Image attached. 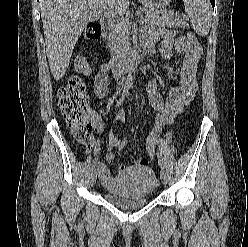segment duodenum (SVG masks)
<instances>
[{
  "label": "duodenum",
  "mask_w": 248,
  "mask_h": 247,
  "mask_svg": "<svg viewBox=\"0 0 248 247\" xmlns=\"http://www.w3.org/2000/svg\"><path fill=\"white\" fill-rule=\"evenodd\" d=\"M93 27L101 36L102 31L106 29V23L103 20L94 22ZM143 55L138 51H130L114 58L112 67L117 73L131 71L135 66L141 63Z\"/></svg>",
  "instance_id": "1"
}]
</instances>
